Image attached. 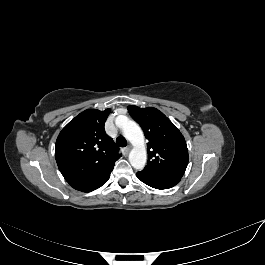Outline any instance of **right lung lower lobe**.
Segmentation results:
<instances>
[{
    "mask_svg": "<svg viewBox=\"0 0 265 265\" xmlns=\"http://www.w3.org/2000/svg\"><path fill=\"white\" fill-rule=\"evenodd\" d=\"M110 177V176H109ZM109 177L107 179H105L104 181H102L100 184H98L97 186H95L93 189H91L90 191H93L99 187H101L103 184H105L107 182V180L109 179ZM88 191V192H90Z\"/></svg>",
    "mask_w": 265,
    "mask_h": 265,
    "instance_id": "1",
    "label": "right lung lower lobe"
}]
</instances>
